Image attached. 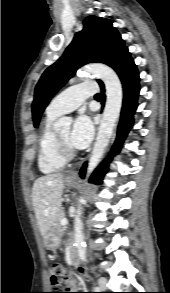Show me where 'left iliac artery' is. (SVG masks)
Here are the masks:
<instances>
[{
  "mask_svg": "<svg viewBox=\"0 0 170 293\" xmlns=\"http://www.w3.org/2000/svg\"><path fill=\"white\" fill-rule=\"evenodd\" d=\"M95 290L98 291V290H100V288L99 287H96Z\"/></svg>",
  "mask_w": 170,
  "mask_h": 293,
  "instance_id": "1",
  "label": "left iliac artery"
}]
</instances>
